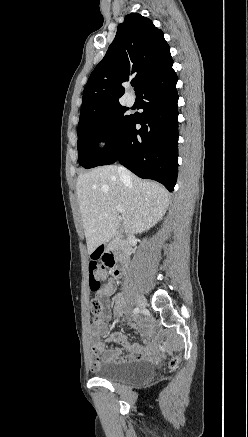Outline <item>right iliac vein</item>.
<instances>
[{
	"instance_id": "63e3f726",
	"label": "right iliac vein",
	"mask_w": 248,
	"mask_h": 437,
	"mask_svg": "<svg viewBox=\"0 0 248 437\" xmlns=\"http://www.w3.org/2000/svg\"><path fill=\"white\" fill-rule=\"evenodd\" d=\"M137 303L139 309L142 311L146 307V299L144 298V296H140Z\"/></svg>"
}]
</instances>
